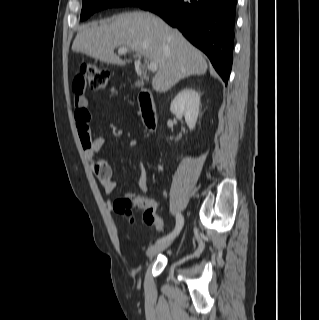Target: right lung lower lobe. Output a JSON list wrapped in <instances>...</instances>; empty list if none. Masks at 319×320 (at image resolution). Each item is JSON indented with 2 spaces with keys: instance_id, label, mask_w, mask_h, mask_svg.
<instances>
[{
  "instance_id": "obj_1",
  "label": "right lung lower lobe",
  "mask_w": 319,
  "mask_h": 320,
  "mask_svg": "<svg viewBox=\"0 0 319 320\" xmlns=\"http://www.w3.org/2000/svg\"><path fill=\"white\" fill-rule=\"evenodd\" d=\"M237 0H152L139 7L179 29L210 59L227 84L233 60Z\"/></svg>"
}]
</instances>
